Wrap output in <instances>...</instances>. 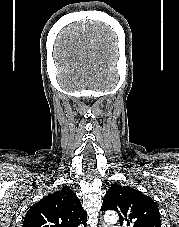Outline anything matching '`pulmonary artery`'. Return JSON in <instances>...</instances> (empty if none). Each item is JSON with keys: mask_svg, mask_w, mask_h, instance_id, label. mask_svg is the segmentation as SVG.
Wrapping results in <instances>:
<instances>
[{"mask_svg": "<svg viewBox=\"0 0 179 227\" xmlns=\"http://www.w3.org/2000/svg\"><path fill=\"white\" fill-rule=\"evenodd\" d=\"M114 227H121L120 225H115Z\"/></svg>", "mask_w": 179, "mask_h": 227, "instance_id": "1", "label": "pulmonary artery"}]
</instances>
